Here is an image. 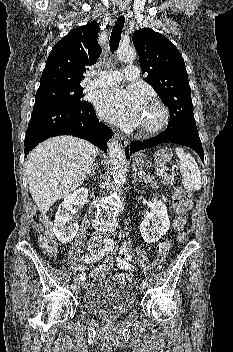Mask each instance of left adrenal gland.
<instances>
[{
  "instance_id": "obj_1",
  "label": "left adrenal gland",
  "mask_w": 233,
  "mask_h": 352,
  "mask_svg": "<svg viewBox=\"0 0 233 352\" xmlns=\"http://www.w3.org/2000/svg\"><path fill=\"white\" fill-rule=\"evenodd\" d=\"M138 180H139V182L142 181L141 179H138L136 172H134V173H133V182H136V181H138Z\"/></svg>"
}]
</instances>
